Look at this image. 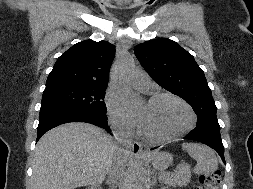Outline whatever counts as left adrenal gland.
I'll list each match as a JSON object with an SVG mask.
<instances>
[{
  "mask_svg": "<svg viewBox=\"0 0 253 189\" xmlns=\"http://www.w3.org/2000/svg\"><path fill=\"white\" fill-rule=\"evenodd\" d=\"M156 180H157V177H156V175H155L154 182H156Z\"/></svg>",
  "mask_w": 253,
  "mask_h": 189,
  "instance_id": "left-adrenal-gland-1",
  "label": "left adrenal gland"
}]
</instances>
